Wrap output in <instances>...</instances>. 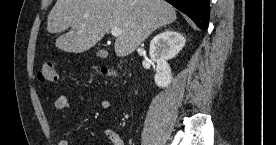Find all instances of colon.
<instances>
[{"label": "colon", "instance_id": "1", "mask_svg": "<svg viewBox=\"0 0 276 145\" xmlns=\"http://www.w3.org/2000/svg\"><path fill=\"white\" fill-rule=\"evenodd\" d=\"M101 73L104 76H113L114 73L106 68L101 69ZM37 78L42 83H55L58 80V74L55 65L52 61H46L43 63L38 72Z\"/></svg>", "mask_w": 276, "mask_h": 145}]
</instances>
